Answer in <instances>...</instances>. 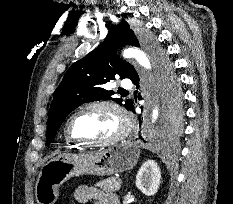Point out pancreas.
Masks as SVG:
<instances>
[{"instance_id":"obj_1","label":"pancreas","mask_w":233,"mask_h":204,"mask_svg":"<svg viewBox=\"0 0 233 204\" xmlns=\"http://www.w3.org/2000/svg\"><path fill=\"white\" fill-rule=\"evenodd\" d=\"M121 181L115 177H110L107 179H103L95 184L96 187H99L102 191L108 193H112L115 191H119L121 188Z\"/></svg>"}]
</instances>
